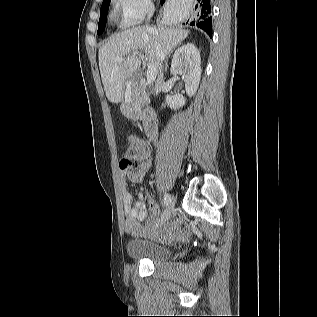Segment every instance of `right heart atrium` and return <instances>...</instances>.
Instances as JSON below:
<instances>
[{"label": "right heart atrium", "instance_id": "obj_1", "mask_svg": "<svg viewBox=\"0 0 317 317\" xmlns=\"http://www.w3.org/2000/svg\"><path fill=\"white\" fill-rule=\"evenodd\" d=\"M124 27L140 24L154 11L152 0H114Z\"/></svg>", "mask_w": 317, "mask_h": 317}]
</instances>
